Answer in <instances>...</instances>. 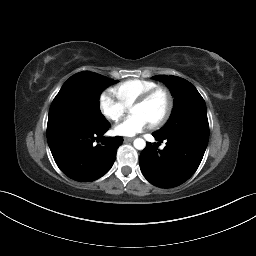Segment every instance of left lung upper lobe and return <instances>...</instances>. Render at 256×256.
<instances>
[{
  "instance_id": "left-lung-upper-lobe-1",
  "label": "left lung upper lobe",
  "mask_w": 256,
  "mask_h": 256,
  "mask_svg": "<svg viewBox=\"0 0 256 256\" xmlns=\"http://www.w3.org/2000/svg\"><path fill=\"white\" fill-rule=\"evenodd\" d=\"M153 78L164 82L174 96V107L168 122L155 133L160 137L188 134L208 141L206 104L194 85L177 76L157 75Z\"/></svg>"
}]
</instances>
